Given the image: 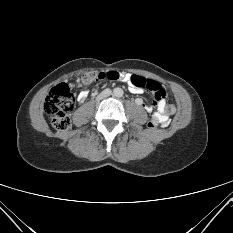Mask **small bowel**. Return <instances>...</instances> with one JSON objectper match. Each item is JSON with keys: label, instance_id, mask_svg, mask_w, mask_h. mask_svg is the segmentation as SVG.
<instances>
[{"label": "small bowel", "instance_id": "1", "mask_svg": "<svg viewBox=\"0 0 233 233\" xmlns=\"http://www.w3.org/2000/svg\"><path fill=\"white\" fill-rule=\"evenodd\" d=\"M131 76L132 75L129 73H120L119 71H108L106 73H104V72L98 73L99 79L111 78V80L123 81V82H126L128 84L129 90L132 93H134V94L142 93V89L136 88L131 84V81H130ZM87 96H88V91L82 90L78 94L77 99L79 102L82 103L85 101ZM137 103L140 105H143V107L145 108V110L147 112H149V113L153 112V116H157L159 118V120H160L159 126L164 127L168 124L169 117L165 111V98H162L155 103L156 109L154 108V105L143 103L142 99H140V98L137 99Z\"/></svg>", "mask_w": 233, "mask_h": 233}]
</instances>
